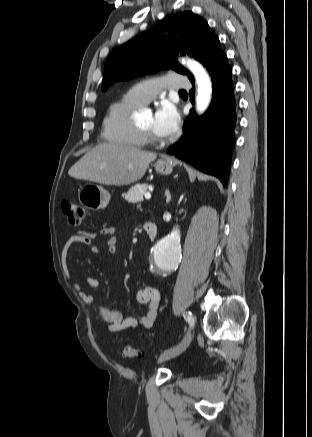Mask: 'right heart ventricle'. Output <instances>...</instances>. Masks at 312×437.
<instances>
[{"mask_svg":"<svg viewBox=\"0 0 312 437\" xmlns=\"http://www.w3.org/2000/svg\"><path fill=\"white\" fill-rule=\"evenodd\" d=\"M143 105L128 98L127 94L119 101L113 103L103 121V137L110 143L142 147L145 139L136 127L132 115Z\"/></svg>","mask_w":312,"mask_h":437,"instance_id":"1","label":"right heart ventricle"}]
</instances>
